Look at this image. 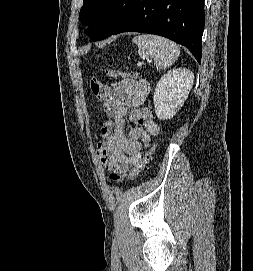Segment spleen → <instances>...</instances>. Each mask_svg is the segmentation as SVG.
Segmentation results:
<instances>
[{"label": "spleen", "mask_w": 253, "mask_h": 271, "mask_svg": "<svg viewBox=\"0 0 253 271\" xmlns=\"http://www.w3.org/2000/svg\"><path fill=\"white\" fill-rule=\"evenodd\" d=\"M142 59L153 60L156 68H169L179 57V46L169 39L156 35H138L133 38Z\"/></svg>", "instance_id": "1"}]
</instances>
